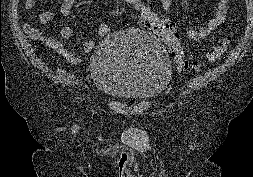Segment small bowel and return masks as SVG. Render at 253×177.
I'll return each instance as SVG.
<instances>
[{"mask_svg": "<svg viewBox=\"0 0 253 177\" xmlns=\"http://www.w3.org/2000/svg\"><path fill=\"white\" fill-rule=\"evenodd\" d=\"M76 0H62L59 13L53 11H44L39 16V21L42 24H48L49 22L55 20L57 17H67ZM230 0H217L216 11L209 16L206 25L201 28L189 27L186 29V35L190 40L198 41L204 40L215 32L226 20L228 4ZM37 0H25L24 6L26 9H32ZM163 9L169 10L172 6L173 0H160ZM23 30L29 35H36L35 30L29 24L22 25ZM111 28L106 23H101L98 25L97 33L100 37L108 36ZM60 36L64 40H69L74 36V30L65 26L60 30ZM53 48L62 55L69 63L78 64L81 62V57L70 51L64 44L58 41L52 42ZM83 49L86 52H90L94 46L95 41L92 39L84 40Z\"/></svg>", "mask_w": 253, "mask_h": 177, "instance_id": "c3829d8e", "label": "small bowel"}]
</instances>
